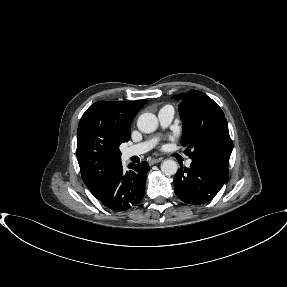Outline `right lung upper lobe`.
<instances>
[{
	"mask_svg": "<svg viewBox=\"0 0 287 287\" xmlns=\"http://www.w3.org/2000/svg\"><path fill=\"white\" fill-rule=\"evenodd\" d=\"M146 101H99L83 114L77 130V159L91 192L109 170L121 164L119 146L130 139V124Z\"/></svg>",
	"mask_w": 287,
	"mask_h": 287,
	"instance_id": "obj_1",
	"label": "right lung upper lobe"
}]
</instances>
